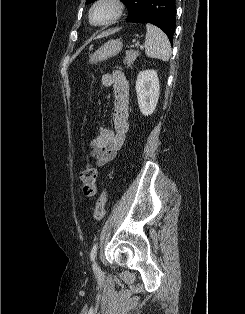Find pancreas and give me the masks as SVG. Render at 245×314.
I'll list each match as a JSON object with an SVG mask.
<instances>
[{
	"label": "pancreas",
	"instance_id": "obj_1",
	"mask_svg": "<svg viewBox=\"0 0 245 314\" xmlns=\"http://www.w3.org/2000/svg\"><path fill=\"white\" fill-rule=\"evenodd\" d=\"M138 56L139 53L137 51L129 50L126 52V56L124 57L123 61L127 68H132L133 62Z\"/></svg>",
	"mask_w": 245,
	"mask_h": 314
}]
</instances>
